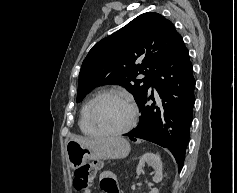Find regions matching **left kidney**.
<instances>
[{
	"instance_id": "left-kidney-1",
	"label": "left kidney",
	"mask_w": 237,
	"mask_h": 193,
	"mask_svg": "<svg viewBox=\"0 0 237 193\" xmlns=\"http://www.w3.org/2000/svg\"><path fill=\"white\" fill-rule=\"evenodd\" d=\"M147 163L148 165L152 166L155 170L153 181L159 183L162 181L163 174H162V162L161 158L157 154H153L151 152L145 153L139 160L138 166L136 168V172L141 174L143 172V167ZM150 193H159L157 188L151 189Z\"/></svg>"
}]
</instances>
